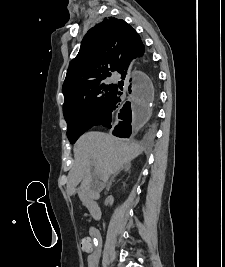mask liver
<instances>
[{"label":"liver","instance_id":"1","mask_svg":"<svg viewBox=\"0 0 225 267\" xmlns=\"http://www.w3.org/2000/svg\"><path fill=\"white\" fill-rule=\"evenodd\" d=\"M143 148L133 142L118 139L103 132H87L74 145L75 162L68 174L67 193L73 195L88 188L92 181L91 165L96 175L106 182L112 174L142 154Z\"/></svg>","mask_w":225,"mask_h":267}]
</instances>
